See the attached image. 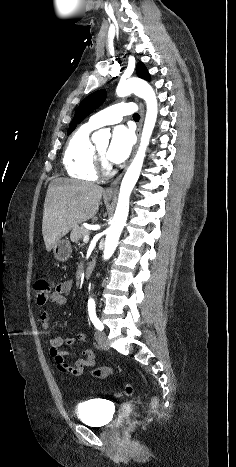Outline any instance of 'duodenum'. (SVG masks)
Masks as SVG:
<instances>
[{
  "label": "duodenum",
  "instance_id": "duodenum-1",
  "mask_svg": "<svg viewBox=\"0 0 236 467\" xmlns=\"http://www.w3.org/2000/svg\"><path fill=\"white\" fill-rule=\"evenodd\" d=\"M94 269V263L92 261L88 262L84 268V277H89L92 274Z\"/></svg>",
  "mask_w": 236,
  "mask_h": 467
}]
</instances>
